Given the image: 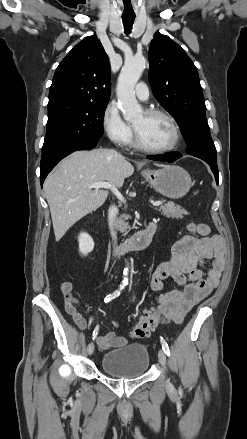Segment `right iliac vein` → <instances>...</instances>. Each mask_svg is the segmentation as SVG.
I'll return each instance as SVG.
<instances>
[{
  "label": "right iliac vein",
  "instance_id": "1",
  "mask_svg": "<svg viewBox=\"0 0 247 439\" xmlns=\"http://www.w3.org/2000/svg\"><path fill=\"white\" fill-rule=\"evenodd\" d=\"M87 352H88L89 355H92V354H93V352H94V344H93V343H90V344L88 345V347H87Z\"/></svg>",
  "mask_w": 247,
  "mask_h": 439
}]
</instances>
